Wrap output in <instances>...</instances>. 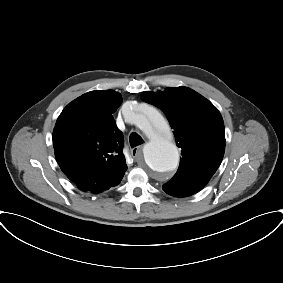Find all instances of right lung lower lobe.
I'll return each instance as SVG.
<instances>
[{
  "label": "right lung lower lobe",
  "mask_w": 283,
  "mask_h": 283,
  "mask_svg": "<svg viewBox=\"0 0 283 283\" xmlns=\"http://www.w3.org/2000/svg\"><path fill=\"white\" fill-rule=\"evenodd\" d=\"M61 167L62 168H68L69 166L67 165V164H64V165H61ZM70 168H72V167H70ZM114 187V186H113ZM104 190H108V189H102V188H100V187H93L91 190H89V191H92V192H94V193H98V192H100V191H104Z\"/></svg>",
  "instance_id": "right-lung-lower-lobe-1"
}]
</instances>
